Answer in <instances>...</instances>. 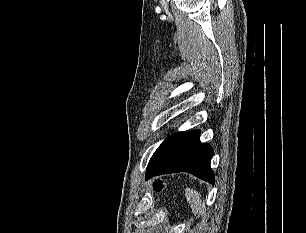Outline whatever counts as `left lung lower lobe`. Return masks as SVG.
I'll use <instances>...</instances> for the list:
<instances>
[{"mask_svg": "<svg viewBox=\"0 0 306 233\" xmlns=\"http://www.w3.org/2000/svg\"><path fill=\"white\" fill-rule=\"evenodd\" d=\"M212 155V147L200 142L199 131L174 133L164 140L151 157L146 179L168 173L189 172L214 184L215 176L210 167Z\"/></svg>", "mask_w": 306, "mask_h": 233, "instance_id": "obj_1", "label": "left lung lower lobe"}]
</instances>
